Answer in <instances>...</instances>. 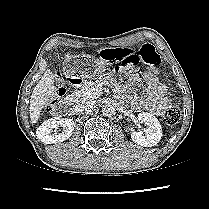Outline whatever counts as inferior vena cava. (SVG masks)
<instances>
[{
	"instance_id": "obj_1",
	"label": "inferior vena cava",
	"mask_w": 209,
	"mask_h": 209,
	"mask_svg": "<svg viewBox=\"0 0 209 209\" xmlns=\"http://www.w3.org/2000/svg\"><path fill=\"white\" fill-rule=\"evenodd\" d=\"M94 105H95V100L91 98H82L79 103V107L83 111H90Z\"/></svg>"
}]
</instances>
